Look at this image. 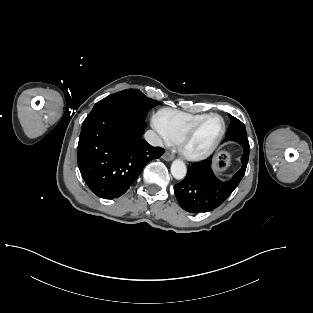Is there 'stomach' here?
<instances>
[{"label": "stomach", "instance_id": "stomach-1", "mask_svg": "<svg viewBox=\"0 0 313 313\" xmlns=\"http://www.w3.org/2000/svg\"><path fill=\"white\" fill-rule=\"evenodd\" d=\"M230 163V155L228 152H220L217 154L214 160V168L216 171L220 172L225 170Z\"/></svg>", "mask_w": 313, "mask_h": 313}]
</instances>
